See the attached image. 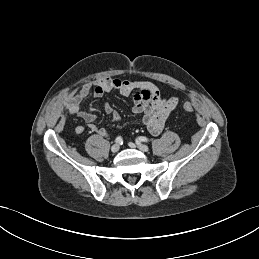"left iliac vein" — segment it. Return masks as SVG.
<instances>
[{
	"label": "left iliac vein",
	"instance_id": "4c4485c4",
	"mask_svg": "<svg viewBox=\"0 0 259 259\" xmlns=\"http://www.w3.org/2000/svg\"><path fill=\"white\" fill-rule=\"evenodd\" d=\"M129 146L131 148H135L137 147L139 150H141L142 152H147L149 150L148 146L145 145V144H141V143H137V144H134L132 142L129 143Z\"/></svg>",
	"mask_w": 259,
	"mask_h": 259
}]
</instances>
